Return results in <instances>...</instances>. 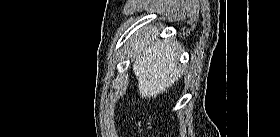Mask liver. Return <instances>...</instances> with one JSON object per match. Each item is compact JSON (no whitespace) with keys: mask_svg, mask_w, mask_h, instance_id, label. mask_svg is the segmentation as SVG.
Segmentation results:
<instances>
[{"mask_svg":"<svg viewBox=\"0 0 280 137\" xmlns=\"http://www.w3.org/2000/svg\"><path fill=\"white\" fill-rule=\"evenodd\" d=\"M143 35L138 32L132 42L133 71L141 97L150 99L167 92L181 77L182 71L176 65L177 54L169 40H157L151 29L143 31Z\"/></svg>","mask_w":280,"mask_h":137,"instance_id":"6515ba94","label":"liver"}]
</instances>
